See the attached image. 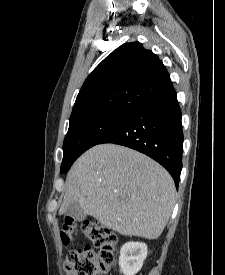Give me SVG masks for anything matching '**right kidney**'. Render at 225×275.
Masks as SVG:
<instances>
[{
	"label": "right kidney",
	"mask_w": 225,
	"mask_h": 275,
	"mask_svg": "<svg viewBox=\"0 0 225 275\" xmlns=\"http://www.w3.org/2000/svg\"><path fill=\"white\" fill-rule=\"evenodd\" d=\"M148 254L147 245L142 242H127L120 250L119 266L124 275H135L143 266Z\"/></svg>",
	"instance_id": "1"
}]
</instances>
